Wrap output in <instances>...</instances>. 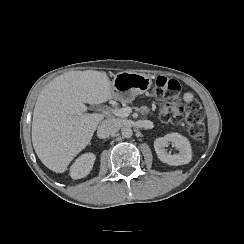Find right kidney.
I'll return each instance as SVG.
<instances>
[{"label": "right kidney", "instance_id": "obj_1", "mask_svg": "<svg viewBox=\"0 0 244 244\" xmlns=\"http://www.w3.org/2000/svg\"><path fill=\"white\" fill-rule=\"evenodd\" d=\"M95 161V155L86 154L76 160L71 168V177L81 179L89 174Z\"/></svg>", "mask_w": 244, "mask_h": 244}]
</instances>
